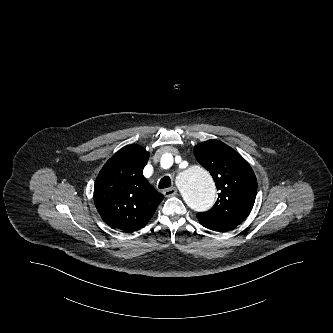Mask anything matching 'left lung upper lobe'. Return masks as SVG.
Here are the masks:
<instances>
[{
  "label": "left lung upper lobe",
  "instance_id": "left-lung-upper-lobe-1",
  "mask_svg": "<svg viewBox=\"0 0 333 333\" xmlns=\"http://www.w3.org/2000/svg\"><path fill=\"white\" fill-rule=\"evenodd\" d=\"M194 154L219 190L214 206L197 213L199 222L214 231L235 228L246 219L255 202L257 180L251 166L234 149L215 139L195 146Z\"/></svg>",
  "mask_w": 333,
  "mask_h": 333
}]
</instances>
